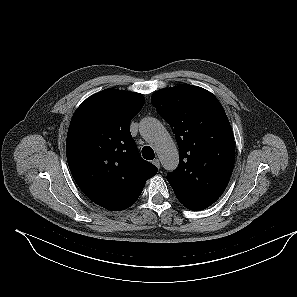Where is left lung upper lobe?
<instances>
[{"label": "left lung upper lobe", "instance_id": "obj_1", "mask_svg": "<svg viewBox=\"0 0 297 297\" xmlns=\"http://www.w3.org/2000/svg\"><path fill=\"white\" fill-rule=\"evenodd\" d=\"M151 103L179 147V166L167 175L177 199L190 210L209 207L225 191L234 167V137L222 105L209 91L189 84L161 89Z\"/></svg>", "mask_w": 297, "mask_h": 297}]
</instances>
